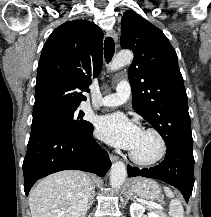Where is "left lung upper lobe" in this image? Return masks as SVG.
Returning <instances> with one entry per match:
<instances>
[{"mask_svg":"<svg viewBox=\"0 0 211 217\" xmlns=\"http://www.w3.org/2000/svg\"><path fill=\"white\" fill-rule=\"evenodd\" d=\"M121 30V47L134 53L128 70L134 110L159 132L167 146L192 147L187 94L168 38L132 10L124 13Z\"/></svg>","mask_w":211,"mask_h":217,"instance_id":"1","label":"left lung upper lobe"}]
</instances>
